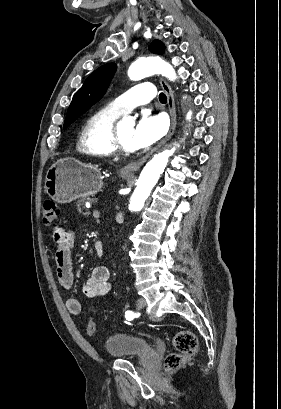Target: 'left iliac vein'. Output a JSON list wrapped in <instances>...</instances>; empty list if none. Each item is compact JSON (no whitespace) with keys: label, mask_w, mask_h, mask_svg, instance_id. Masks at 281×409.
<instances>
[{"label":"left iliac vein","mask_w":281,"mask_h":409,"mask_svg":"<svg viewBox=\"0 0 281 409\" xmlns=\"http://www.w3.org/2000/svg\"><path fill=\"white\" fill-rule=\"evenodd\" d=\"M145 306H146V301H145V299H144V298H139V299L137 300V303H136V308L139 310V309L144 308Z\"/></svg>","instance_id":"obj_1"}]
</instances>
